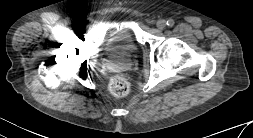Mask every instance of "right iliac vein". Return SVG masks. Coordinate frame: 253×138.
<instances>
[{
  "instance_id": "right-iliac-vein-1",
  "label": "right iliac vein",
  "mask_w": 253,
  "mask_h": 138,
  "mask_svg": "<svg viewBox=\"0 0 253 138\" xmlns=\"http://www.w3.org/2000/svg\"><path fill=\"white\" fill-rule=\"evenodd\" d=\"M76 25H77V22H76V21H73V22H71V23L69 24V27H70L71 29H74V28L76 27Z\"/></svg>"
}]
</instances>
